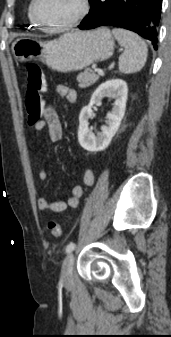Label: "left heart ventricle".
<instances>
[{
	"label": "left heart ventricle",
	"instance_id": "left-heart-ventricle-1",
	"mask_svg": "<svg viewBox=\"0 0 171 337\" xmlns=\"http://www.w3.org/2000/svg\"><path fill=\"white\" fill-rule=\"evenodd\" d=\"M38 14L47 24L55 26L73 19L80 11V0H39Z\"/></svg>",
	"mask_w": 171,
	"mask_h": 337
}]
</instances>
